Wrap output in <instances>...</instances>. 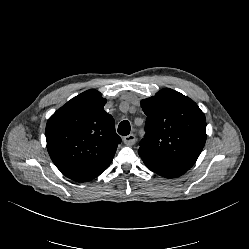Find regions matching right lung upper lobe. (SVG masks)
<instances>
[{"label":"right lung upper lobe","instance_id":"right-lung-upper-lobe-1","mask_svg":"<svg viewBox=\"0 0 249 249\" xmlns=\"http://www.w3.org/2000/svg\"><path fill=\"white\" fill-rule=\"evenodd\" d=\"M107 100L90 89L68 101L48 120V153L66 177L86 182L112 162L121 138L112 116L104 111Z\"/></svg>","mask_w":249,"mask_h":249}]
</instances>
